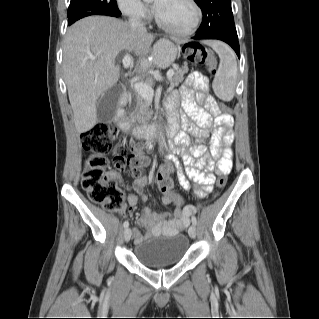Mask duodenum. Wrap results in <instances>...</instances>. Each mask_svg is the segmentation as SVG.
Listing matches in <instances>:
<instances>
[{"instance_id":"duodenum-1","label":"duodenum","mask_w":319,"mask_h":319,"mask_svg":"<svg viewBox=\"0 0 319 319\" xmlns=\"http://www.w3.org/2000/svg\"><path fill=\"white\" fill-rule=\"evenodd\" d=\"M128 97L126 94H122L119 99V105L117 108L116 122L118 125L127 132L130 129V121L128 119L126 104ZM179 128V122L175 117H170L168 124L160 127L152 123H139L136 124L132 130L136 138L151 142L157 135H166L168 137H174Z\"/></svg>"}]
</instances>
